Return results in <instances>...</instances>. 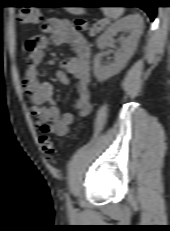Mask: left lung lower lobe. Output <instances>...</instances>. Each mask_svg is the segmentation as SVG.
<instances>
[{"mask_svg": "<svg viewBox=\"0 0 170 231\" xmlns=\"http://www.w3.org/2000/svg\"><path fill=\"white\" fill-rule=\"evenodd\" d=\"M133 3L139 4V6L142 8L150 17L151 21L154 20L156 16V6L154 5L153 0H134Z\"/></svg>", "mask_w": 170, "mask_h": 231, "instance_id": "left-lung-lower-lobe-1", "label": "left lung lower lobe"}]
</instances>
